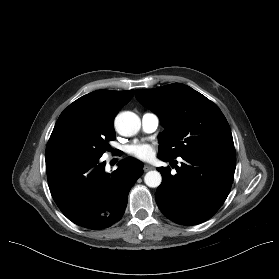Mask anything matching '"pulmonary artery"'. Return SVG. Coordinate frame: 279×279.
Returning a JSON list of instances; mask_svg holds the SVG:
<instances>
[{"label": "pulmonary artery", "mask_w": 279, "mask_h": 279, "mask_svg": "<svg viewBox=\"0 0 279 279\" xmlns=\"http://www.w3.org/2000/svg\"><path fill=\"white\" fill-rule=\"evenodd\" d=\"M141 122L143 130L147 133H152L158 128L160 119L157 114L147 112L142 115Z\"/></svg>", "instance_id": "obj_1"}]
</instances>
